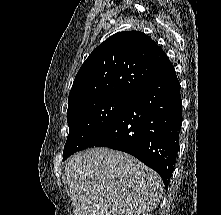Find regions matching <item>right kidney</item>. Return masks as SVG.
I'll list each match as a JSON object with an SVG mask.
<instances>
[{"label":"right kidney","mask_w":221,"mask_h":215,"mask_svg":"<svg viewBox=\"0 0 221 215\" xmlns=\"http://www.w3.org/2000/svg\"><path fill=\"white\" fill-rule=\"evenodd\" d=\"M143 215H148V213H146V214L144 213ZM149 215H152V214H149Z\"/></svg>","instance_id":"ca27d5eb"}]
</instances>
